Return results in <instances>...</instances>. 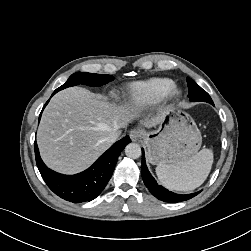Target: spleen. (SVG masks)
<instances>
[{"label": "spleen", "mask_w": 251, "mask_h": 251, "mask_svg": "<svg viewBox=\"0 0 251 251\" xmlns=\"http://www.w3.org/2000/svg\"><path fill=\"white\" fill-rule=\"evenodd\" d=\"M213 164L211 149H202L190 159L176 164H160L156 167L159 181L166 188L191 191L207 179Z\"/></svg>", "instance_id": "1"}]
</instances>
